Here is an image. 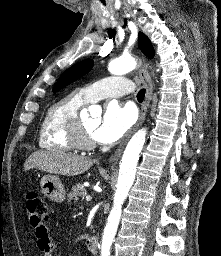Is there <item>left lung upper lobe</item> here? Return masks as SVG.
I'll use <instances>...</instances> for the list:
<instances>
[{"instance_id":"left-lung-upper-lobe-1","label":"left lung upper lobe","mask_w":221,"mask_h":256,"mask_svg":"<svg viewBox=\"0 0 221 256\" xmlns=\"http://www.w3.org/2000/svg\"><path fill=\"white\" fill-rule=\"evenodd\" d=\"M138 44L141 51L147 57L152 58L154 56V49L150 40L145 34L141 32H139ZM93 63L94 62L92 59H85L68 68L58 79L57 83L53 88V92L60 90L62 87L70 84L71 82H74L81 76L87 74L92 69Z\"/></svg>"}]
</instances>
